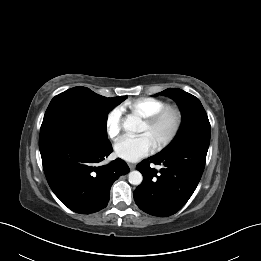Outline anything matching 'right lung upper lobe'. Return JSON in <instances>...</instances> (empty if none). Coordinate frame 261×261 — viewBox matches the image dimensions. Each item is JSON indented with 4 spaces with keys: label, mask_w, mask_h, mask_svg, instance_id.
I'll use <instances>...</instances> for the list:
<instances>
[{
    "label": "right lung upper lobe",
    "mask_w": 261,
    "mask_h": 261,
    "mask_svg": "<svg viewBox=\"0 0 261 261\" xmlns=\"http://www.w3.org/2000/svg\"><path fill=\"white\" fill-rule=\"evenodd\" d=\"M75 88L76 87H74L72 89H69V90H67V91H65L63 93H60L59 95L55 96L50 103L52 104V103H55V102H57L59 100H66L69 103H71L70 93ZM60 127H70L75 132H83V131H85L83 121L80 118H77V117L73 118V120L71 122L65 124L64 126H60Z\"/></svg>",
    "instance_id": "obj_1"
}]
</instances>
